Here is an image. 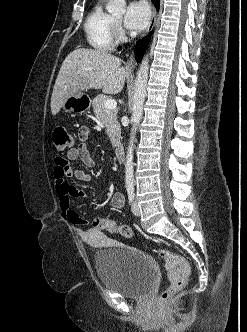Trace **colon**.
<instances>
[{
  "instance_id": "1",
  "label": "colon",
  "mask_w": 247,
  "mask_h": 332,
  "mask_svg": "<svg viewBox=\"0 0 247 332\" xmlns=\"http://www.w3.org/2000/svg\"><path fill=\"white\" fill-rule=\"evenodd\" d=\"M52 140L57 152L64 153L72 149L74 140L64 127H56L52 132ZM93 227L109 233H118L125 238H132L133 231L126 225H119L110 218H99L93 222ZM156 254L164 261L168 287L160 294L159 302L166 303L180 291L187 283L190 275V266L185 258L164 248H156Z\"/></svg>"
}]
</instances>
